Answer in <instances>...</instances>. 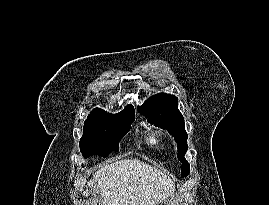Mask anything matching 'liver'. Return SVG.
Returning a JSON list of instances; mask_svg holds the SVG:
<instances>
[{
  "instance_id": "1",
  "label": "liver",
  "mask_w": 269,
  "mask_h": 205,
  "mask_svg": "<svg viewBox=\"0 0 269 205\" xmlns=\"http://www.w3.org/2000/svg\"><path fill=\"white\" fill-rule=\"evenodd\" d=\"M104 205H156L172 197L175 184L159 169L137 159L116 160L95 172Z\"/></svg>"
}]
</instances>
